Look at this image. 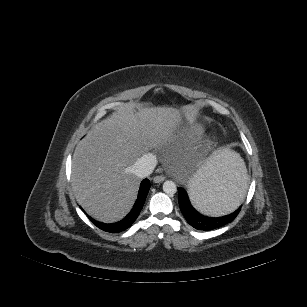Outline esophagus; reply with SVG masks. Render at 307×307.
<instances>
[{"label": "esophagus", "mask_w": 307, "mask_h": 307, "mask_svg": "<svg viewBox=\"0 0 307 307\" xmlns=\"http://www.w3.org/2000/svg\"><path fill=\"white\" fill-rule=\"evenodd\" d=\"M165 179H166L165 176H163V175H157V176H155V177L153 178V181H154L155 183H161V182H163Z\"/></svg>", "instance_id": "34e87169"}]
</instances>
